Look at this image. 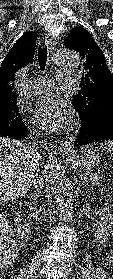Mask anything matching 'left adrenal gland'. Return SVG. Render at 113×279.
Segmentation results:
<instances>
[{
    "instance_id": "1",
    "label": "left adrenal gland",
    "mask_w": 113,
    "mask_h": 279,
    "mask_svg": "<svg viewBox=\"0 0 113 279\" xmlns=\"http://www.w3.org/2000/svg\"><path fill=\"white\" fill-rule=\"evenodd\" d=\"M75 184L77 185V191H79L81 187L84 188V185H85V183L82 181H79V179L77 177L75 178Z\"/></svg>"
}]
</instances>
